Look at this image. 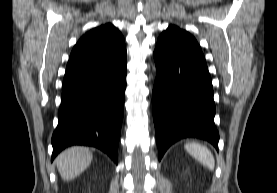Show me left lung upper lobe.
I'll return each instance as SVG.
<instances>
[{
	"mask_svg": "<svg viewBox=\"0 0 277 193\" xmlns=\"http://www.w3.org/2000/svg\"><path fill=\"white\" fill-rule=\"evenodd\" d=\"M160 37L169 39L185 48L202 52L196 39L192 37L188 32L181 30L177 26L170 25L167 30L161 34Z\"/></svg>",
	"mask_w": 277,
	"mask_h": 193,
	"instance_id": "obj_1",
	"label": "left lung upper lobe"
}]
</instances>
